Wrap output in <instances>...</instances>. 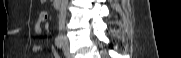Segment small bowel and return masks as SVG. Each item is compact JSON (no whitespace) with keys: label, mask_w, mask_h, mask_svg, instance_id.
<instances>
[{"label":"small bowel","mask_w":181,"mask_h":58,"mask_svg":"<svg viewBox=\"0 0 181 58\" xmlns=\"http://www.w3.org/2000/svg\"><path fill=\"white\" fill-rule=\"evenodd\" d=\"M46 18H47V15H46L45 12H43V13L40 15V18H39L37 24L35 25V31H36V33H41V31H42L41 23H42L43 21H45ZM32 51H33L34 53H39V52L41 51V47H40L39 45H35V46L32 48Z\"/></svg>","instance_id":"1"}]
</instances>
